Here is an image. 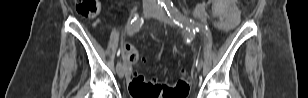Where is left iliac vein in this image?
<instances>
[{"label":"left iliac vein","mask_w":308,"mask_h":98,"mask_svg":"<svg viewBox=\"0 0 308 98\" xmlns=\"http://www.w3.org/2000/svg\"><path fill=\"white\" fill-rule=\"evenodd\" d=\"M152 15L155 18L159 19L160 21L167 23L169 25H172L171 19L166 15V13L163 10L160 9L159 6L154 7ZM196 67H197L198 70H201L202 63H201V60L199 58H197V60H196Z\"/></svg>","instance_id":"1"}]
</instances>
